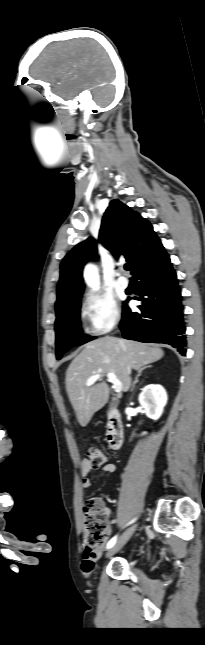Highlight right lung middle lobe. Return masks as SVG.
<instances>
[{
	"label": "right lung middle lobe",
	"mask_w": 205,
	"mask_h": 645,
	"mask_svg": "<svg viewBox=\"0 0 205 645\" xmlns=\"http://www.w3.org/2000/svg\"><path fill=\"white\" fill-rule=\"evenodd\" d=\"M80 299L68 308L57 313L55 322L56 331V356L60 359L70 348L82 345L93 338L82 333L80 328Z\"/></svg>",
	"instance_id": "dd1d6c3e"
}]
</instances>
